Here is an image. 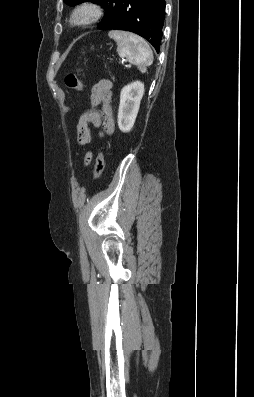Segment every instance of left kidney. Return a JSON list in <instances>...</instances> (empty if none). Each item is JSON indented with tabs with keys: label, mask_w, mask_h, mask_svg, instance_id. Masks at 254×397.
<instances>
[{
	"label": "left kidney",
	"mask_w": 254,
	"mask_h": 397,
	"mask_svg": "<svg viewBox=\"0 0 254 397\" xmlns=\"http://www.w3.org/2000/svg\"><path fill=\"white\" fill-rule=\"evenodd\" d=\"M143 94L144 84L140 81H135L121 90L118 127L122 132L127 133L133 128Z\"/></svg>",
	"instance_id": "obj_1"
}]
</instances>
